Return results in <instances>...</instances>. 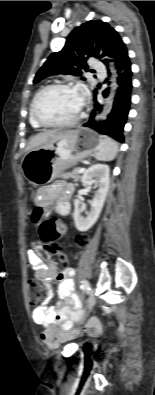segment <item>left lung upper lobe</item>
Here are the masks:
<instances>
[{
	"label": "left lung upper lobe",
	"instance_id": "5c2ea615",
	"mask_svg": "<svg viewBox=\"0 0 155 395\" xmlns=\"http://www.w3.org/2000/svg\"><path fill=\"white\" fill-rule=\"evenodd\" d=\"M100 50L103 51L102 55ZM104 55L112 57L117 65L128 55V51L118 32L108 23L88 21L70 33L61 51L48 57L37 72L34 83L55 74L81 75L88 70L89 57L102 58ZM103 63L107 64V60Z\"/></svg>",
	"mask_w": 155,
	"mask_h": 395
}]
</instances>
